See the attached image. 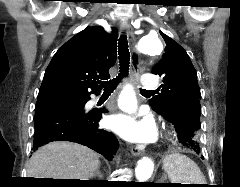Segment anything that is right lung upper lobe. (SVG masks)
<instances>
[{"label": "right lung upper lobe", "mask_w": 240, "mask_h": 187, "mask_svg": "<svg viewBox=\"0 0 240 187\" xmlns=\"http://www.w3.org/2000/svg\"><path fill=\"white\" fill-rule=\"evenodd\" d=\"M118 33L112 28L88 27L62 45L49 63L40 86L36 105L62 99L85 98L101 90V80L117 57ZM91 90V91H90Z\"/></svg>", "instance_id": "cb5924a9"}]
</instances>
